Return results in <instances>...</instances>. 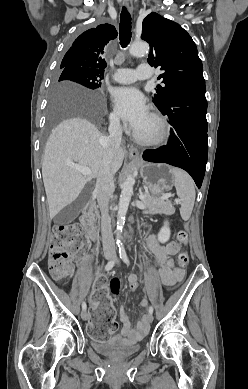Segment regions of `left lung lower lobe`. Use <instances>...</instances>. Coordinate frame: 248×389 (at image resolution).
I'll use <instances>...</instances> for the list:
<instances>
[{"instance_id":"obj_1","label":"left lung lower lobe","mask_w":248,"mask_h":389,"mask_svg":"<svg viewBox=\"0 0 248 389\" xmlns=\"http://www.w3.org/2000/svg\"><path fill=\"white\" fill-rule=\"evenodd\" d=\"M159 110L172 126L170 139L166 146L144 151L142 158L186 170L200 188L208 156L205 85L181 90Z\"/></svg>"}]
</instances>
